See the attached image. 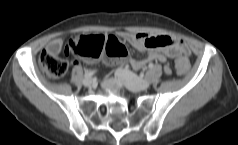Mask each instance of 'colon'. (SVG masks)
<instances>
[{
  "mask_svg": "<svg viewBox=\"0 0 238 145\" xmlns=\"http://www.w3.org/2000/svg\"><path fill=\"white\" fill-rule=\"evenodd\" d=\"M67 48L74 55L90 61L105 58L109 64H122L128 58L127 48L114 36H76L69 41ZM39 65L53 77L63 76L68 69V61L65 58L53 55L47 50L40 54ZM175 68L178 74L186 73L190 68L188 59L184 56L177 58Z\"/></svg>",
  "mask_w": 238,
  "mask_h": 145,
  "instance_id": "1",
  "label": "colon"
}]
</instances>
